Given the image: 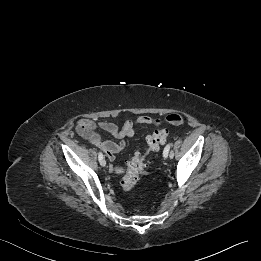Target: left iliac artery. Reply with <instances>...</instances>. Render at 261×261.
I'll list each match as a JSON object with an SVG mask.
<instances>
[{
  "instance_id": "1",
  "label": "left iliac artery",
  "mask_w": 261,
  "mask_h": 261,
  "mask_svg": "<svg viewBox=\"0 0 261 261\" xmlns=\"http://www.w3.org/2000/svg\"><path fill=\"white\" fill-rule=\"evenodd\" d=\"M171 145H172L171 143L166 145V147L163 150V157H167L168 156V153H169ZM173 157H174V155L171 156V158H173Z\"/></svg>"
}]
</instances>
